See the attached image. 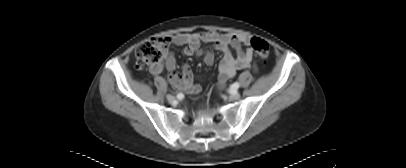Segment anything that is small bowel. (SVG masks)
<instances>
[{
	"label": "small bowel",
	"instance_id": "small-bowel-1",
	"mask_svg": "<svg viewBox=\"0 0 406 168\" xmlns=\"http://www.w3.org/2000/svg\"><path fill=\"white\" fill-rule=\"evenodd\" d=\"M173 45L184 46V54L187 56L203 55L204 62L211 66L214 63V54L211 50L203 51L202 43H212L214 49L223 53V58L219 64L217 89L225 87L227 81L232 78L237 71L246 68H256L253 62V52L251 49H243V44L249 43V36L234 35L218 32H196L179 33L169 37ZM231 50L235 52L232 54ZM166 69L169 80L173 86L179 90H184L188 94H198L201 87L194 83L193 73L190 67L185 64L182 73L179 75L176 69V62L172 55L166 59L165 65L157 64L150 66V72L158 75Z\"/></svg>",
	"mask_w": 406,
	"mask_h": 168
}]
</instances>
